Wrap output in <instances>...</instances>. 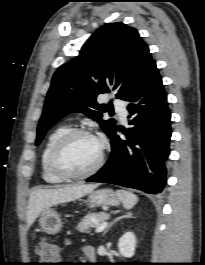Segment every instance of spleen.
<instances>
[{
  "instance_id": "spleen-1",
  "label": "spleen",
  "mask_w": 205,
  "mask_h": 265,
  "mask_svg": "<svg viewBox=\"0 0 205 265\" xmlns=\"http://www.w3.org/2000/svg\"><path fill=\"white\" fill-rule=\"evenodd\" d=\"M116 194L126 209L133 208L136 205V203L138 202V197L130 191L117 190Z\"/></svg>"
}]
</instances>
